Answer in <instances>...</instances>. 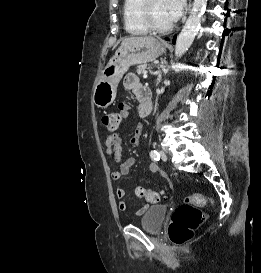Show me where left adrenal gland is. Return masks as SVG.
<instances>
[{
    "label": "left adrenal gland",
    "instance_id": "obj_1",
    "mask_svg": "<svg viewBox=\"0 0 261 273\" xmlns=\"http://www.w3.org/2000/svg\"><path fill=\"white\" fill-rule=\"evenodd\" d=\"M161 78H162V72H161V70H159L158 77H157V85L161 82Z\"/></svg>",
    "mask_w": 261,
    "mask_h": 273
}]
</instances>
